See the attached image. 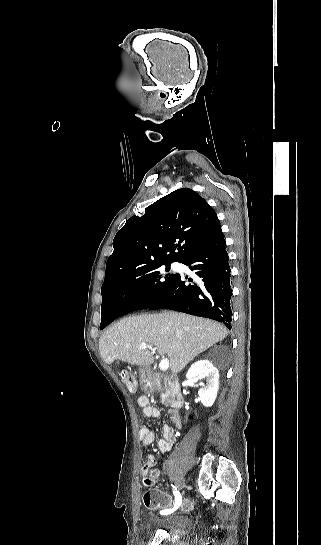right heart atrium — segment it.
<instances>
[{
  "mask_svg": "<svg viewBox=\"0 0 321 545\" xmlns=\"http://www.w3.org/2000/svg\"><path fill=\"white\" fill-rule=\"evenodd\" d=\"M140 293L145 296V297H151V296H154L155 293H156V288L153 284L151 283H144L141 287H140Z\"/></svg>",
  "mask_w": 321,
  "mask_h": 545,
  "instance_id": "right-heart-atrium-1",
  "label": "right heart atrium"
}]
</instances>
